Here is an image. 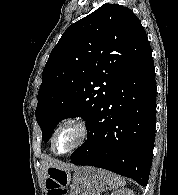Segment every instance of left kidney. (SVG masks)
I'll return each instance as SVG.
<instances>
[{
  "label": "left kidney",
  "instance_id": "5707ae66",
  "mask_svg": "<svg viewBox=\"0 0 178 195\" xmlns=\"http://www.w3.org/2000/svg\"><path fill=\"white\" fill-rule=\"evenodd\" d=\"M111 195H135V194L133 193V191L125 188V189L118 190Z\"/></svg>",
  "mask_w": 178,
  "mask_h": 195
}]
</instances>
